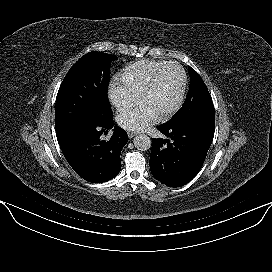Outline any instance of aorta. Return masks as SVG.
Wrapping results in <instances>:
<instances>
[{
	"mask_svg": "<svg viewBox=\"0 0 272 272\" xmlns=\"http://www.w3.org/2000/svg\"><path fill=\"white\" fill-rule=\"evenodd\" d=\"M135 148L141 151H146L151 147V139L146 134H139L133 140Z\"/></svg>",
	"mask_w": 272,
	"mask_h": 272,
	"instance_id": "obj_1",
	"label": "aorta"
}]
</instances>
